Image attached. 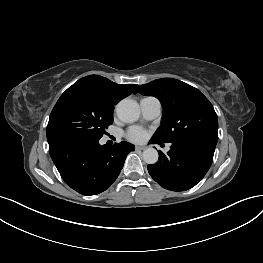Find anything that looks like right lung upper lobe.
<instances>
[{
  "instance_id": "obj_1",
  "label": "right lung upper lobe",
  "mask_w": 263,
  "mask_h": 263,
  "mask_svg": "<svg viewBox=\"0 0 263 263\" xmlns=\"http://www.w3.org/2000/svg\"><path fill=\"white\" fill-rule=\"evenodd\" d=\"M136 87V84L120 85L102 76L89 75L78 80L63 94L71 92L88 94L114 108V105L121 99L129 96L133 92L136 93Z\"/></svg>"
}]
</instances>
